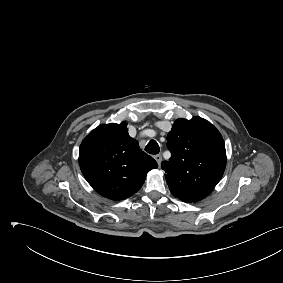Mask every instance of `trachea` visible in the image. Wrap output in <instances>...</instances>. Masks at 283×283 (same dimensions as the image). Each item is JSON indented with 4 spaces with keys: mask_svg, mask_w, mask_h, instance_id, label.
<instances>
[{
    "mask_svg": "<svg viewBox=\"0 0 283 283\" xmlns=\"http://www.w3.org/2000/svg\"><path fill=\"white\" fill-rule=\"evenodd\" d=\"M145 151L149 154H158L160 151V147L155 140H150L145 147Z\"/></svg>",
    "mask_w": 283,
    "mask_h": 283,
    "instance_id": "3493384b",
    "label": "trachea"
}]
</instances>
